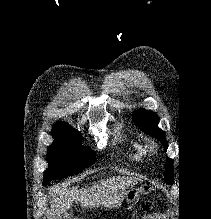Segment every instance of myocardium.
<instances>
[{
	"mask_svg": "<svg viewBox=\"0 0 211 219\" xmlns=\"http://www.w3.org/2000/svg\"><path fill=\"white\" fill-rule=\"evenodd\" d=\"M144 152L150 156L157 153V145L154 142L147 143L144 147Z\"/></svg>",
	"mask_w": 211,
	"mask_h": 219,
	"instance_id": "myocardium-1",
	"label": "myocardium"
}]
</instances>
